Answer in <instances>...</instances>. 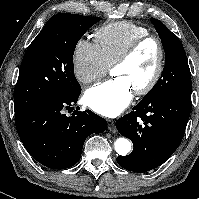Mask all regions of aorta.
I'll return each mask as SVG.
<instances>
[{
	"instance_id": "1",
	"label": "aorta",
	"mask_w": 199,
	"mask_h": 199,
	"mask_svg": "<svg viewBox=\"0 0 199 199\" xmlns=\"http://www.w3.org/2000/svg\"><path fill=\"white\" fill-rule=\"evenodd\" d=\"M114 146L116 152L121 156L127 155L131 151L132 147L131 142L126 138H118L115 141Z\"/></svg>"
}]
</instances>
